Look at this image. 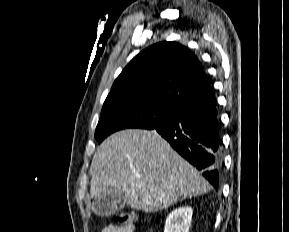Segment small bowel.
<instances>
[{
    "instance_id": "1",
    "label": "small bowel",
    "mask_w": 289,
    "mask_h": 232,
    "mask_svg": "<svg viewBox=\"0 0 289 232\" xmlns=\"http://www.w3.org/2000/svg\"><path fill=\"white\" fill-rule=\"evenodd\" d=\"M135 227L133 224H128L125 226L118 225H108L102 229L101 232H134Z\"/></svg>"
}]
</instances>
